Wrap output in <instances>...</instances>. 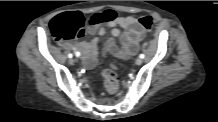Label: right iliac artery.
<instances>
[{"label": "right iliac artery", "instance_id": "1", "mask_svg": "<svg viewBox=\"0 0 218 122\" xmlns=\"http://www.w3.org/2000/svg\"><path fill=\"white\" fill-rule=\"evenodd\" d=\"M68 57H69V58H72V57H73V55L70 53V54H68Z\"/></svg>", "mask_w": 218, "mask_h": 122}]
</instances>
